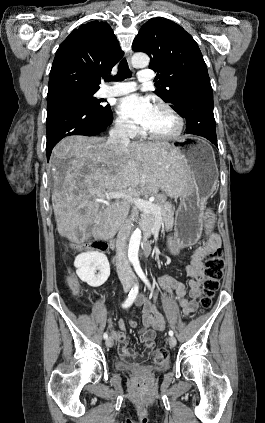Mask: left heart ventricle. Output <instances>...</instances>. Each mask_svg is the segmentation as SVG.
Returning a JSON list of instances; mask_svg holds the SVG:
<instances>
[{
    "label": "left heart ventricle",
    "instance_id": "obj_1",
    "mask_svg": "<svg viewBox=\"0 0 265 423\" xmlns=\"http://www.w3.org/2000/svg\"><path fill=\"white\" fill-rule=\"evenodd\" d=\"M176 120L165 110L156 107L154 113L145 126L151 132L157 134H169L176 130Z\"/></svg>",
    "mask_w": 265,
    "mask_h": 423
}]
</instances>
